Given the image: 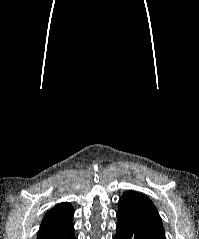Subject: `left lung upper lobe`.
Here are the masks:
<instances>
[{
    "instance_id": "5c2ea615",
    "label": "left lung upper lobe",
    "mask_w": 199,
    "mask_h": 239,
    "mask_svg": "<svg viewBox=\"0 0 199 239\" xmlns=\"http://www.w3.org/2000/svg\"><path fill=\"white\" fill-rule=\"evenodd\" d=\"M119 211L129 214L153 227L165 237L162 220L152 201L145 195L134 191L125 192L118 201Z\"/></svg>"
}]
</instances>
